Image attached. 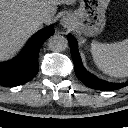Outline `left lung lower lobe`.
I'll return each instance as SVG.
<instances>
[{
    "label": "left lung lower lobe",
    "mask_w": 128,
    "mask_h": 128,
    "mask_svg": "<svg viewBox=\"0 0 128 128\" xmlns=\"http://www.w3.org/2000/svg\"><path fill=\"white\" fill-rule=\"evenodd\" d=\"M68 40L71 49V55L74 63V69L77 78L86 86L96 89V90H105L112 91L123 88L128 85V82L125 83H110L104 80H101L89 73L82 65V61L77 49V42L72 35H68Z\"/></svg>",
    "instance_id": "0a47b994"
}]
</instances>
